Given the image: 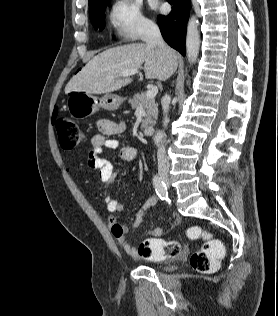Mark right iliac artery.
Here are the masks:
<instances>
[{"instance_id":"obj_1","label":"right iliac artery","mask_w":278,"mask_h":316,"mask_svg":"<svg viewBox=\"0 0 278 316\" xmlns=\"http://www.w3.org/2000/svg\"><path fill=\"white\" fill-rule=\"evenodd\" d=\"M153 185H154V188H155V191H156L158 197L161 200L167 199V197H168L167 186L158 175L154 176Z\"/></svg>"}]
</instances>
